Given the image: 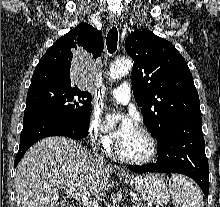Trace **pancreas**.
Masks as SVG:
<instances>
[{
	"instance_id": "pancreas-1",
	"label": "pancreas",
	"mask_w": 220,
	"mask_h": 207,
	"mask_svg": "<svg viewBox=\"0 0 220 207\" xmlns=\"http://www.w3.org/2000/svg\"><path fill=\"white\" fill-rule=\"evenodd\" d=\"M134 207H145V206H143L142 203H138L137 206H134Z\"/></svg>"
}]
</instances>
